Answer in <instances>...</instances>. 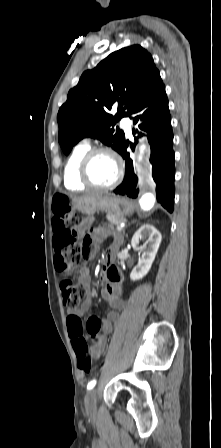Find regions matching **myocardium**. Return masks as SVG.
<instances>
[{
	"instance_id": "myocardium-1",
	"label": "myocardium",
	"mask_w": 221,
	"mask_h": 448,
	"mask_svg": "<svg viewBox=\"0 0 221 448\" xmlns=\"http://www.w3.org/2000/svg\"><path fill=\"white\" fill-rule=\"evenodd\" d=\"M102 154L110 155L115 160L116 165H117L116 177L114 178V180L111 183H109L107 185H100V184L95 183L90 175V166H91L93 159L96 156L102 155ZM123 175H124V165H123L122 159L120 158V156L118 155V153L116 151H114L113 149L108 148V147H97V148L89 149L82 156V158L79 162V165H78V177H79L80 181L82 183H84L85 185L92 187V188L104 189V190L112 189L120 183V181L123 178Z\"/></svg>"
}]
</instances>
